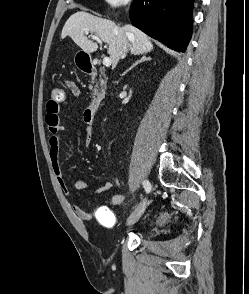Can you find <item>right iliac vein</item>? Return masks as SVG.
<instances>
[{"label": "right iliac vein", "instance_id": "right-iliac-vein-1", "mask_svg": "<svg viewBox=\"0 0 249 294\" xmlns=\"http://www.w3.org/2000/svg\"><path fill=\"white\" fill-rule=\"evenodd\" d=\"M147 200L143 199L127 219V226L135 224L145 211Z\"/></svg>", "mask_w": 249, "mask_h": 294}]
</instances>
